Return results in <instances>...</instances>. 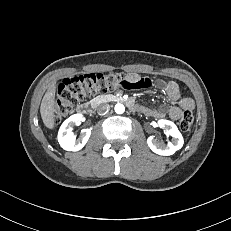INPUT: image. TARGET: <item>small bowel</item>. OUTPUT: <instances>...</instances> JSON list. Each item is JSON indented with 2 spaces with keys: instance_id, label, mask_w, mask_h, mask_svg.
I'll use <instances>...</instances> for the list:
<instances>
[{
  "instance_id": "small-bowel-1",
  "label": "small bowel",
  "mask_w": 231,
  "mask_h": 231,
  "mask_svg": "<svg viewBox=\"0 0 231 231\" xmlns=\"http://www.w3.org/2000/svg\"><path fill=\"white\" fill-rule=\"evenodd\" d=\"M128 78L132 81H137L142 77L135 73L128 74ZM156 86L162 89L166 95L168 100L171 102V106L166 107L161 105L159 107H147V106H139V111L144 114L155 117V118H163L168 115L173 120H178L183 112L192 111L194 108V102L189 97H181V89L179 85L174 81H157Z\"/></svg>"
}]
</instances>
